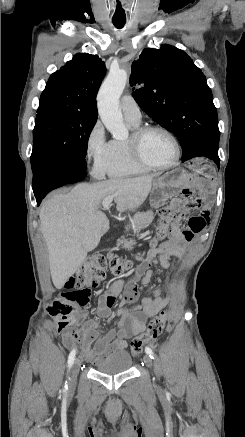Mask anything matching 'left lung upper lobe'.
I'll return each mask as SVG.
<instances>
[{
    "label": "left lung upper lobe",
    "instance_id": "5c2ea615",
    "mask_svg": "<svg viewBox=\"0 0 245 437\" xmlns=\"http://www.w3.org/2000/svg\"><path fill=\"white\" fill-rule=\"evenodd\" d=\"M133 97L155 122L177 136L182 160L218 154L217 110L206 77L182 50L146 48L132 63Z\"/></svg>",
    "mask_w": 245,
    "mask_h": 437
}]
</instances>
